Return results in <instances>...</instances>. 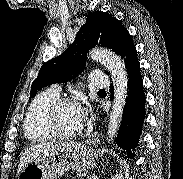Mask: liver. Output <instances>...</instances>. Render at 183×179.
<instances>
[{"label":"liver","mask_w":183,"mask_h":179,"mask_svg":"<svg viewBox=\"0 0 183 179\" xmlns=\"http://www.w3.org/2000/svg\"><path fill=\"white\" fill-rule=\"evenodd\" d=\"M54 144H56V142H48L43 144H37V145L31 146L30 148H27L20 158L18 169H17V177L20 175L23 168L29 162L33 161L35 158L40 156L48 147L53 146Z\"/></svg>","instance_id":"liver-1"}]
</instances>
